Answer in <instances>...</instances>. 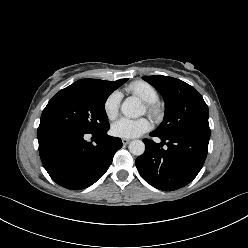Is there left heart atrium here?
I'll use <instances>...</instances> for the list:
<instances>
[{
    "instance_id": "left-heart-atrium-1",
    "label": "left heart atrium",
    "mask_w": 248,
    "mask_h": 248,
    "mask_svg": "<svg viewBox=\"0 0 248 248\" xmlns=\"http://www.w3.org/2000/svg\"><path fill=\"white\" fill-rule=\"evenodd\" d=\"M151 128L150 122L146 118L130 119L120 118L112 125V133L121 138H135Z\"/></svg>"
}]
</instances>
